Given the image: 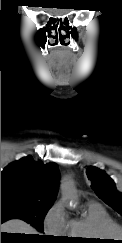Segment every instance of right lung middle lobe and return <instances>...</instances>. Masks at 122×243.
Returning a JSON list of instances; mask_svg holds the SVG:
<instances>
[{
  "label": "right lung middle lobe",
  "instance_id": "obj_1",
  "mask_svg": "<svg viewBox=\"0 0 122 243\" xmlns=\"http://www.w3.org/2000/svg\"><path fill=\"white\" fill-rule=\"evenodd\" d=\"M51 206L52 203H42L15 196H1V222L21 219L39 232H43V220Z\"/></svg>",
  "mask_w": 122,
  "mask_h": 243
}]
</instances>
